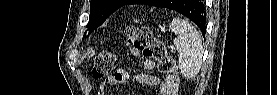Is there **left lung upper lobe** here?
<instances>
[{"label":"left lung upper lobe","mask_w":277,"mask_h":95,"mask_svg":"<svg viewBox=\"0 0 277 95\" xmlns=\"http://www.w3.org/2000/svg\"><path fill=\"white\" fill-rule=\"evenodd\" d=\"M131 1L132 0H91L90 16L87 24L89 34L102 25L114 11L124 5H128ZM172 1L174 2L176 0ZM151 5L158 7L162 6L161 3L156 2V0H154ZM169 5H171V3H169Z\"/></svg>","instance_id":"left-lung-upper-lobe-1"}]
</instances>
